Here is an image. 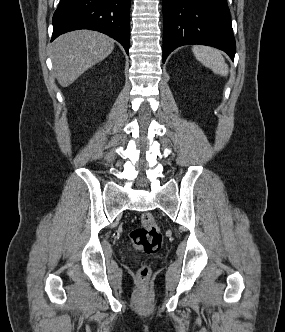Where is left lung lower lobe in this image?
<instances>
[{
  "label": "left lung lower lobe",
  "instance_id": "left-lung-lower-lobe-1",
  "mask_svg": "<svg viewBox=\"0 0 285 332\" xmlns=\"http://www.w3.org/2000/svg\"><path fill=\"white\" fill-rule=\"evenodd\" d=\"M163 62L177 47L213 46L232 60L236 44L227 0H163Z\"/></svg>",
  "mask_w": 285,
  "mask_h": 332
}]
</instances>
